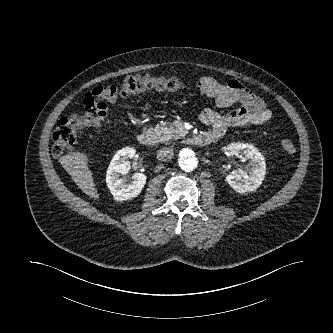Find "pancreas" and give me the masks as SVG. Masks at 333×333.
<instances>
[{"label": "pancreas", "mask_w": 333, "mask_h": 333, "mask_svg": "<svg viewBox=\"0 0 333 333\" xmlns=\"http://www.w3.org/2000/svg\"><path fill=\"white\" fill-rule=\"evenodd\" d=\"M154 131L157 134L158 142L177 140L183 134L182 130L175 128L173 124L168 122H162L160 125H156Z\"/></svg>", "instance_id": "pancreas-1"}]
</instances>
